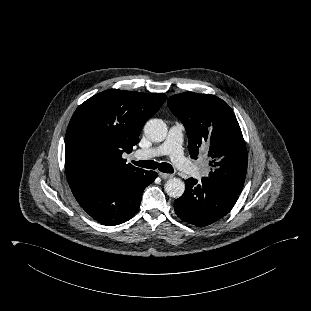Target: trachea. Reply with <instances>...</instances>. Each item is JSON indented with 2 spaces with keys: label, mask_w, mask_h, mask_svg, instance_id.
Segmentation results:
<instances>
[{
  "label": "trachea",
  "mask_w": 311,
  "mask_h": 311,
  "mask_svg": "<svg viewBox=\"0 0 311 311\" xmlns=\"http://www.w3.org/2000/svg\"><path fill=\"white\" fill-rule=\"evenodd\" d=\"M132 163L136 166L147 168V169H159L161 172L164 173H173V167L166 162L158 163L153 160H142V161H132Z\"/></svg>",
  "instance_id": "obj_1"
}]
</instances>
